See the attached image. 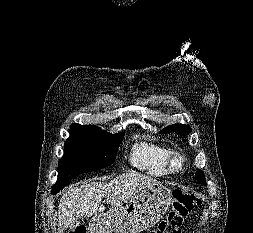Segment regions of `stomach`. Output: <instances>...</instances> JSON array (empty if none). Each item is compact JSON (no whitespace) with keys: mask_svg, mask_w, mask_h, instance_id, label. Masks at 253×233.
<instances>
[{"mask_svg":"<svg viewBox=\"0 0 253 233\" xmlns=\"http://www.w3.org/2000/svg\"><path fill=\"white\" fill-rule=\"evenodd\" d=\"M171 201V191L162 184L143 188L107 214L96 215L91 233H140L160 221Z\"/></svg>","mask_w":253,"mask_h":233,"instance_id":"1","label":"stomach"}]
</instances>
